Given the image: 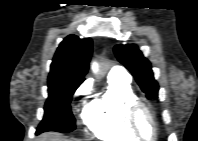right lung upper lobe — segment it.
Here are the masks:
<instances>
[{"label": "right lung upper lobe", "instance_id": "obj_1", "mask_svg": "<svg viewBox=\"0 0 198 141\" xmlns=\"http://www.w3.org/2000/svg\"><path fill=\"white\" fill-rule=\"evenodd\" d=\"M92 54L91 38L67 36L59 45L53 58L48 81H84Z\"/></svg>", "mask_w": 198, "mask_h": 141}]
</instances>
